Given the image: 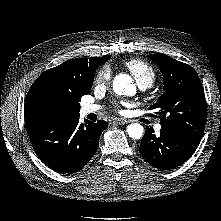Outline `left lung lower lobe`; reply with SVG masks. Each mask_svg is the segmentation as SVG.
Masks as SVG:
<instances>
[{
    "instance_id": "0a47b994",
    "label": "left lung lower lobe",
    "mask_w": 221,
    "mask_h": 221,
    "mask_svg": "<svg viewBox=\"0 0 221 221\" xmlns=\"http://www.w3.org/2000/svg\"><path fill=\"white\" fill-rule=\"evenodd\" d=\"M201 138L194 135L168 131L161 128L160 136L146 127L139 152L153 167L169 170L186 162L197 149Z\"/></svg>"
}]
</instances>
